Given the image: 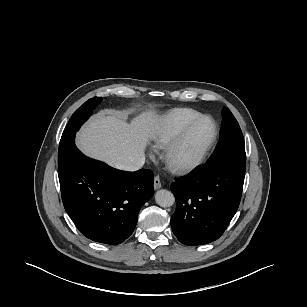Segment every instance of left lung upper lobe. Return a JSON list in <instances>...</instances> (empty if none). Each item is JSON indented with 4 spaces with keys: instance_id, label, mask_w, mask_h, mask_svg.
Here are the masks:
<instances>
[{
    "instance_id": "1",
    "label": "left lung upper lobe",
    "mask_w": 307,
    "mask_h": 307,
    "mask_svg": "<svg viewBox=\"0 0 307 307\" xmlns=\"http://www.w3.org/2000/svg\"><path fill=\"white\" fill-rule=\"evenodd\" d=\"M225 163L246 170L244 137L240 126L227 107L223 108L220 140L206 165Z\"/></svg>"
}]
</instances>
